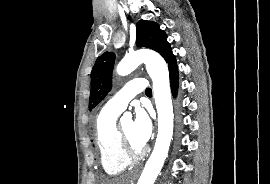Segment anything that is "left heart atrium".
I'll list each match as a JSON object with an SVG mask.
<instances>
[{"label":"left heart atrium","instance_id":"left-heart-atrium-1","mask_svg":"<svg viewBox=\"0 0 270 184\" xmlns=\"http://www.w3.org/2000/svg\"><path fill=\"white\" fill-rule=\"evenodd\" d=\"M133 125L136 140L142 145H145L152 135V122L144 109H136Z\"/></svg>","mask_w":270,"mask_h":184}]
</instances>
